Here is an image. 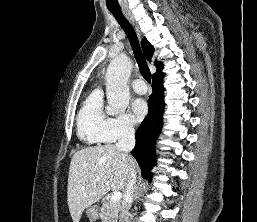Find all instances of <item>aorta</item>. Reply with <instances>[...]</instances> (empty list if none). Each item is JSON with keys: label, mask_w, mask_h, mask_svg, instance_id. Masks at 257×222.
Returning a JSON list of instances; mask_svg holds the SVG:
<instances>
[{"label": "aorta", "mask_w": 257, "mask_h": 222, "mask_svg": "<svg viewBox=\"0 0 257 222\" xmlns=\"http://www.w3.org/2000/svg\"><path fill=\"white\" fill-rule=\"evenodd\" d=\"M132 70L129 58L121 54L114 58L106 71V96L111 115L123 113L129 104L128 80Z\"/></svg>", "instance_id": "obj_1"}]
</instances>
